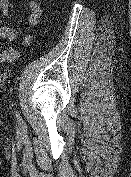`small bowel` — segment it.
I'll list each match as a JSON object with an SVG mask.
<instances>
[{
  "mask_svg": "<svg viewBox=\"0 0 131 177\" xmlns=\"http://www.w3.org/2000/svg\"><path fill=\"white\" fill-rule=\"evenodd\" d=\"M28 8L30 13L27 16V23L31 26L38 24L40 17L42 15L41 6L35 0H28ZM0 10L4 16H7L10 11V2L9 0H0ZM18 37L17 31L15 28L10 26L0 27V40H9L14 41ZM30 37H25L24 41H29ZM19 53L14 48H5L0 49V63L13 61L17 59Z\"/></svg>",
  "mask_w": 131,
  "mask_h": 177,
  "instance_id": "1",
  "label": "small bowel"
}]
</instances>
